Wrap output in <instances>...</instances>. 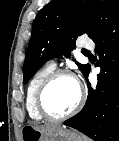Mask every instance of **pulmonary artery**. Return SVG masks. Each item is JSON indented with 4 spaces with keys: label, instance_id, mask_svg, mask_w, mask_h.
<instances>
[{
    "label": "pulmonary artery",
    "instance_id": "pulmonary-artery-1",
    "mask_svg": "<svg viewBox=\"0 0 119 141\" xmlns=\"http://www.w3.org/2000/svg\"><path fill=\"white\" fill-rule=\"evenodd\" d=\"M77 46L79 48H90L92 46V42L91 41H84V42L78 44ZM49 64L52 65V66H55L56 65L55 60H51L49 62Z\"/></svg>",
    "mask_w": 119,
    "mask_h": 141
}]
</instances>
